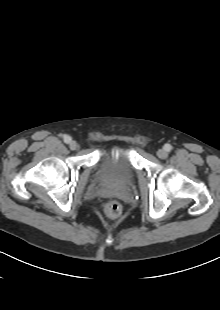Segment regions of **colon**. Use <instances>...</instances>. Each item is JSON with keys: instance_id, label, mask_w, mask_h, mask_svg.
<instances>
[{"instance_id": "obj_1", "label": "colon", "mask_w": 220, "mask_h": 310, "mask_svg": "<svg viewBox=\"0 0 220 310\" xmlns=\"http://www.w3.org/2000/svg\"><path fill=\"white\" fill-rule=\"evenodd\" d=\"M122 207L118 202L110 201L105 205V212L110 217H117L121 214Z\"/></svg>"}]
</instances>
